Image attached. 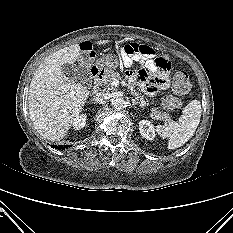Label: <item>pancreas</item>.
Segmentation results:
<instances>
[{
	"label": "pancreas",
	"instance_id": "1",
	"mask_svg": "<svg viewBox=\"0 0 233 233\" xmlns=\"http://www.w3.org/2000/svg\"><path fill=\"white\" fill-rule=\"evenodd\" d=\"M119 77L120 75L118 72L109 73L103 78L102 83L107 85L108 90H114L112 82L116 78H119ZM134 95H135L136 100L141 106H145L149 104L148 100L144 97L143 94L139 92H135ZM150 114H151V117L155 120H162L164 122H169L171 120L170 116H168L165 112L157 110L156 108H152Z\"/></svg>",
	"mask_w": 233,
	"mask_h": 233
}]
</instances>
